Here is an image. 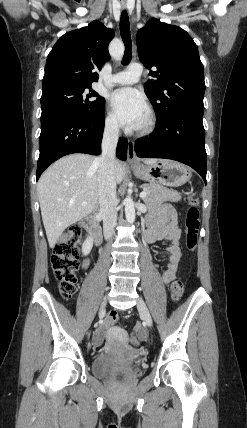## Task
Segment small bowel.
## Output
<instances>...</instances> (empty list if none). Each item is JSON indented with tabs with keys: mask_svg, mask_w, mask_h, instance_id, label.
<instances>
[{
	"mask_svg": "<svg viewBox=\"0 0 247 428\" xmlns=\"http://www.w3.org/2000/svg\"><path fill=\"white\" fill-rule=\"evenodd\" d=\"M181 232L177 225V217L174 208L170 204H163L152 207L148 218V228L145 238L148 242L154 243L160 240H168L167 246L168 263L163 272V282L169 284L177 274L179 263L182 257L180 248ZM89 260L84 261V267H88ZM103 340V330L100 329L94 336L95 344L99 345Z\"/></svg>",
	"mask_w": 247,
	"mask_h": 428,
	"instance_id": "obj_1",
	"label": "small bowel"
}]
</instances>
